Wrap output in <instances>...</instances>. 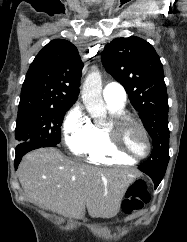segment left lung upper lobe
<instances>
[{"mask_svg":"<svg viewBox=\"0 0 187 242\" xmlns=\"http://www.w3.org/2000/svg\"><path fill=\"white\" fill-rule=\"evenodd\" d=\"M102 63L121 83L152 138L150 157L139 167L166 171L169 162L168 97L163 66L147 41L131 36L104 47Z\"/></svg>","mask_w":187,"mask_h":242,"instance_id":"left-lung-upper-lobe-1","label":"left lung upper lobe"}]
</instances>
